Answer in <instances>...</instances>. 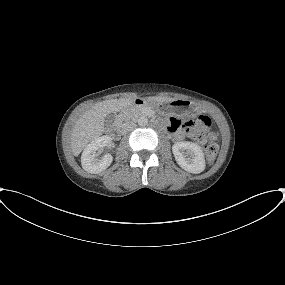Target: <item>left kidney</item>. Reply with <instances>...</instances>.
Instances as JSON below:
<instances>
[{
	"label": "left kidney",
	"mask_w": 285,
	"mask_h": 285,
	"mask_svg": "<svg viewBox=\"0 0 285 285\" xmlns=\"http://www.w3.org/2000/svg\"><path fill=\"white\" fill-rule=\"evenodd\" d=\"M177 164L185 171L198 174L205 169V159L201 147L193 142H177L172 146Z\"/></svg>",
	"instance_id": "5707ae66"
}]
</instances>
